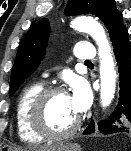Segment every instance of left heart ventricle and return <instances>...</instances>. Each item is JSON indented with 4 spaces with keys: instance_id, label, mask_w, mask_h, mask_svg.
<instances>
[{
    "instance_id": "obj_1",
    "label": "left heart ventricle",
    "mask_w": 131,
    "mask_h": 151,
    "mask_svg": "<svg viewBox=\"0 0 131 151\" xmlns=\"http://www.w3.org/2000/svg\"><path fill=\"white\" fill-rule=\"evenodd\" d=\"M78 118L74 112L69 95L53 96L46 108V124L53 132H62L70 128Z\"/></svg>"
}]
</instances>
